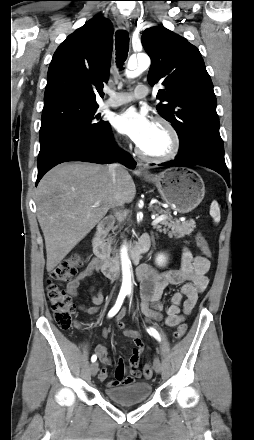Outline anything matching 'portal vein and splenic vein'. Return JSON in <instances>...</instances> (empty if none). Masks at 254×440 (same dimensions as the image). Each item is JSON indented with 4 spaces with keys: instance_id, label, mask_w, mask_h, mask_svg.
Returning a JSON list of instances; mask_svg holds the SVG:
<instances>
[{
    "instance_id": "portal-vein-and-splenic-vein-1",
    "label": "portal vein and splenic vein",
    "mask_w": 254,
    "mask_h": 440,
    "mask_svg": "<svg viewBox=\"0 0 254 440\" xmlns=\"http://www.w3.org/2000/svg\"><path fill=\"white\" fill-rule=\"evenodd\" d=\"M99 205H100V203H99V202H96V203L93 205V207H97V206H99ZM167 218H169L168 215H166V214H162V215L158 216L157 218H155V219L152 221V225H153V226H156L157 224H159L160 222L166 220Z\"/></svg>"
}]
</instances>
